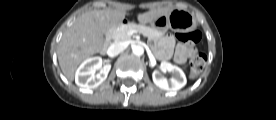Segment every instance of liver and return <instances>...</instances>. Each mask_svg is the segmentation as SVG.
I'll use <instances>...</instances> for the list:
<instances>
[{"label": "liver", "instance_id": "1", "mask_svg": "<svg viewBox=\"0 0 276 120\" xmlns=\"http://www.w3.org/2000/svg\"><path fill=\"white\" fill-rule=\"evenodd\" d=\"M173 8H158L139 14L140 23H150ZM126 12L121 10H92L82 14L63 34L57 50L61 70L69 81H73L78 65L90 56L103 51V35L119 26Z\"/></svg>", "mask_w": 276, "mask_h": 120}]
</instances>
